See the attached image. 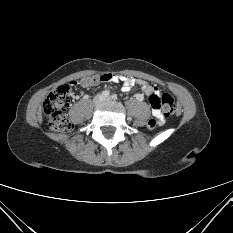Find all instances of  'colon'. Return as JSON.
Instances as JSON below:
<instances>
[{
    "instance_id": "colon-1",
    "label": "colon",
    "mask_w": 233,
    "mask_h": 233,
    "mask_svg": "<svg viewBox=\"0 0 233 233\" xmlns=\"http://www.w3.org/2000/svg\"><path fill=\"white\" fill-rule=\"evenodd\" d=\"M82 79L84 80L83 87L86 88L95 86L101 82L96 80V75L87 76ZM71 99V88L67 84L57 87L47 95L43 103V108L45 114L49 118V125L52 130L66 133L73 129V122L65 114V111L71 103ZM149 102L151 106L159 108L161 113L165 116L173 115L176 112V101L174 97L168 93H164L161 96H153ZM157 125L158 122L156 118H151L147 123L150 129L155 128Z\"/></svg>"
}]
</instances>
